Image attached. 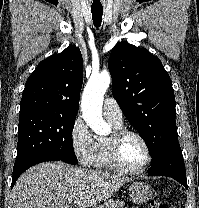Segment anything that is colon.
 Segmentation results:
<instances>
[{
	"instance_id": "colon-1",
	"label": "colon",
	"mask_w": 199,
	"mask_h": 208,
	"mask_svg": "<svg viewBox=\"0 0 199 208\" xmlns=\"http://www.w3.org/2000/svg\"><path fill=\"white\" fill-rule=\"evenodd\" d=\"M149 208H167V207L163 202L152 199L149 202Z\"/></svg>"
}]
</instances>
